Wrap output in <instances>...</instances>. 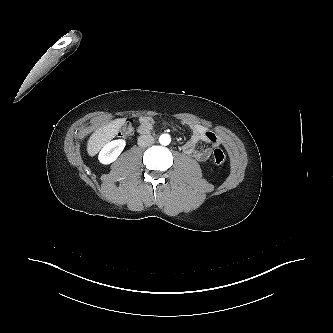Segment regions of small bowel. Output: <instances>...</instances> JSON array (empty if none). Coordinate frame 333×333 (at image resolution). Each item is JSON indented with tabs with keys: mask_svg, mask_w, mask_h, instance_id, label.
<instances>
[{
	"mask_svg": "<svg viewBox=\"0 0 333 333\" xmlns=\"http://www.w3.org/2000/svg\"><path fill=\"white\" fill-rule=\"evenodd\" d=\"M155 122L151 117H145L141 120V126L139 128L140 134H148L151 133L154 129ZM186 126L191 130L192 137L189 141H187L184 146V152L194 158L197 161L203 162L210 158L211 149L208 147L197 148L198 141H203L210 144L213 147H219L220 141L218 137L206 127L186 122Z\"/></svg>",
	"mask_w": 333,
	"mask_h": 333,
	"instance_id": "small-bowel-1",
	"label": "small bowel"
}]
</instances>
